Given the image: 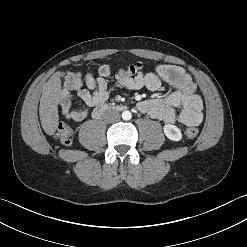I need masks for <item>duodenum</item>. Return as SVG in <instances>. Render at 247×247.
<instances>
[{
    "label": "duodenum",
    "mask_w": 247,
    "mask_h": 247,
    "mask_svg": "<svg viewBox=\"0 0 247 247\" xmlns=\"http://www.w3.org/2000/svg\"><path fill=\"white\" fill-rule=\"evenodd\" d=\"M110 109H112L111 106L106 105V104H102L99 105L93 112V117L98 119L100 118L105 112L109 111Z\"/></svg>",
    "instance_id": "410a0bca"
}]
</instances>
